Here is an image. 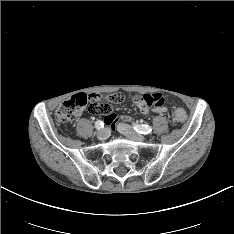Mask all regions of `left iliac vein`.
Segmentation results:
<instances>
[{
  "mask_svg": "<svg viewBox=\"0 0 234 234\" xmlns=\"http://www.w3.org/2000/svg\"><path fill=\"white\" fill-rule=\"evenodd\" d=\"M118 131L134 141L142 142L146 139L144 135L136 132L131 126L124 123L118 124Z\"/></svg>",
  "mask_w": 234,
  "mask_h": 234,
  "instance_id": "4c4485c4",
  "label": "left iliac vein"
}]
</instances>
